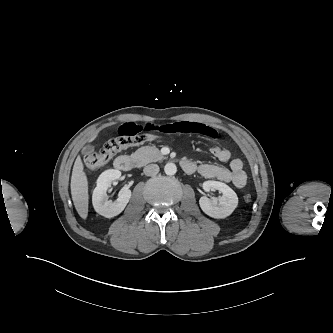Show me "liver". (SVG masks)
I'll return each instance as SVG.
<instances>
[{
    "label": "liver",
    "mask_w": 333,
    "mask_h": 333,
    "mask_svg": "<svg viewBox=\"0 0 333 333\" xmlns=\"http://www.w3.org/2000/svg\"><path fill=\"white\" fill-rule=\"evenodd\" d=\"M95 135L91 140H94ZM84 166L81 158L78 156L75 160L72 176H71V195L76 211L79 216L86 219L88 216V180L85 172L83 171Z\"/></svg>",
    "instance_id": "6515ba94"
}]
</instances>
